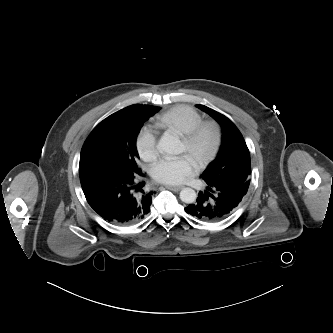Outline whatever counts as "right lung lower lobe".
<instances>
[{
    "label": "right lung lower lobe",
    "instance_id": "obj_1",
    "mask_svg": "<svg viewBox=\"0 0 333 333\" xmlns=\"http://www.w3.org/2000/svg\"><path fill=\"white\" fill-rule=\"evenodd\" d=\"M80 181L89 205L113 224L132 225L150 212L154 192H145L144 182L136 183V175L91 172L81 175Z\"/></svg>",
    "mask_w": 333,
    "mask_h": 333
}]
</instances>
